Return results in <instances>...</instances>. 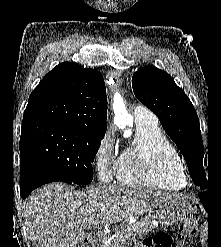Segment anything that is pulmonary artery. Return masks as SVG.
I'll return each instance as SVG.
<instances>
[{
  "mask_svg": "<svg viewBox=\"0 0 221 247\" xmlns=\"http://www.w3.org/2000/svg\"><path fill=\"white\" fill-rule=\"evenodd\" d=\"M134 118L135 122L149 120V121H156L157 118L154 114L149 112L147 109H145L141 105H137L134 108Z\"/></svg>",
  "mask_w": 221,
  "mask_h": 247,
  "instance_id": "e3ab8cb5",
  "label": "pulmonary artery"
}]
</instances>
